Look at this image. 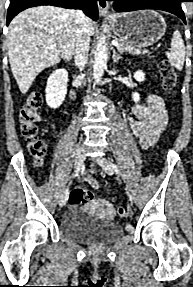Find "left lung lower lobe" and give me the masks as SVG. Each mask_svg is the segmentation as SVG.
<instances>
[{"mask_svg": "<svg viewBox=\"0 0 193 287\" xmlns=\"http://www.w3.org/2000/svg\"><path fill=\"white\" fill-rule=\"evenodd\" d=\"M113 1V10L116 12H129L141 9H157L170 12L186 23L181 2L184 0H109Z\"/></svg>", "mask_w": 193, "mask_h": 287, "instance_id": "left-lung-lower-lobe-1", "label": "left lung lower lobe"}]
</instances>
